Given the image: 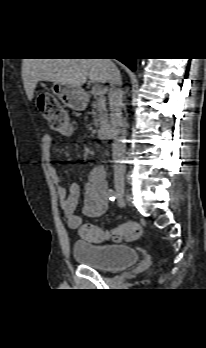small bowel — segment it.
I'll list each match as a JSON object with an SVG mask.
<instances>
[{
  "instance_id": "small-bowel-1",
  "label": "small bowel",
  "mask_w": 206,
  "mask_h": 348,
  "mask_svg": "<svg viewBox=\"0 0 206 348\" xmlns=\"http://www.w3.org/2000/svg\"><path fill=\"white\" fill-rule=\"evenodd\" d=\"M52 143L53 136L50 133L44 134L42 144L48 158L50 157ZM48 170L56 186L60 207L67 225L72 229L79 228L82 225L83 219L81 215L75 213L80 196L78 185L72 183L69 187H66L61 175L51 163L48 164ZM109 204L104 169L101 166H95L89 172L85 184L82 214L88 218H98L107 211Z\"/></svg>"
}]
</instances>
